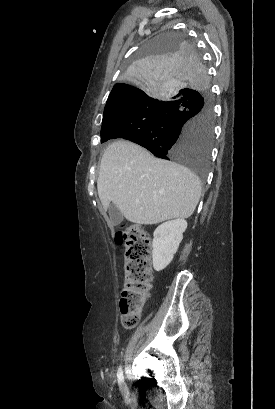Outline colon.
Here are the masks:
<instances>
[{
  "mask_svg": "<svg viewBox=\"0 0 275 409\" xmlns=\"http://www.w3.org/2000/svg\"><path fill=\"white\" fill-rule=\"evenodd\" d=\"M115 243L126 251L119 303L121 324L125 330H132L139 323L152 285L150 261L153 248L147 232L137 224L121 227L115 235Z\"/></svg>",
  "mask_w": 275,
  "mask_h": 409,
  "instance_id": "colon-1",
  "label": "colon"
}]
</instances>
